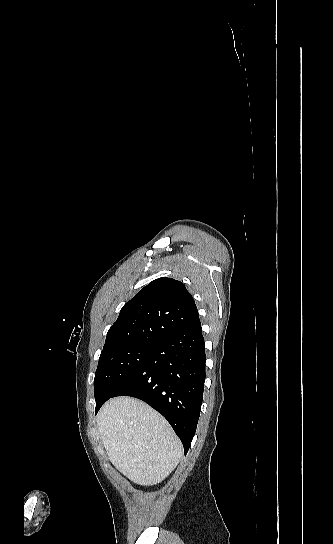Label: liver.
<instances>
[{"mask_svg":"<svg viewBox=\"0 0 333 544\" xmlns=\"http://www.w3.org/2000/svg\"><path fill=\"white\" fill-rule=\"evenodd\" d=\"M97 426L112 464L139 485L160 483L183 456L169 423L140 400H110L99 411Z\"/></svg>","mask_w":333,"mask_h":544,"instance_id":"1","label":"liver"}]
</instances>
